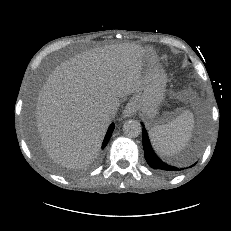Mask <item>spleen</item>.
<instances>
[{
    "label": "spleen",
    "instance_id": "3e777b00",
    "mask_svg": "<svg viewBox=\"0 0 231 231\" xmlns=\"http://www.w3.org/2000/svg\"><path fill=\"white\" fill-rule=\"evenodd\" d=\"M194 128V116L184 111L172 121L150 129L153 147L160 155L170 156L180 152L187 145Z\"/></svg>",
    "mask_w": 231,
    "mask_h": 231
}]
</instances>
